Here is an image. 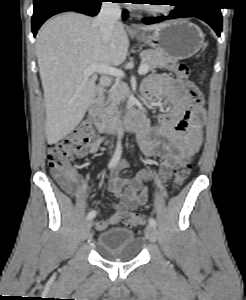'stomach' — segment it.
Wrapping results in <instances>:
<instances>
[{
    "instance_id": "obj_1",
    "label": "stomach",
    "mask_w": 246,
    "mask_h": 300,
    "mask_svg": "<svg viewBox=\"0 0 246 300\" xmlns=\"http://www.w3.org/2000/svg\"><path fill=\"white\" fill-rule=\"evenodd\" d=\"M138 39L174 61L192 57L204 45L202 30L186 20L167 22L151 34H140Z\"/></svg>"
}]
</instances>
